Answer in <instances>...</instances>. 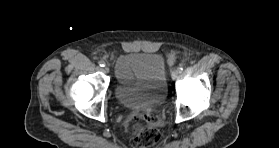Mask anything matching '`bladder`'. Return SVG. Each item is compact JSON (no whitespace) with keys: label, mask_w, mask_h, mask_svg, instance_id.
<instances>
[{"label":"bladder","mask_w":279,"mask_h":148,"mask_svg":"<svg viewBox=\"0 0 279 148\" xmlns=\"http://www.w3.org/2000/svg\"><path fill=\"white\" fill-rule=\"evenodd\" d=\"M121 62L134 76L135 84L128 87L121 78L116 80L114 95L118 102L127 107L160 105L166 95V67L161 55L155 53L132 52Z\"/></svg>","instance_id":"1"}]
</instances>
